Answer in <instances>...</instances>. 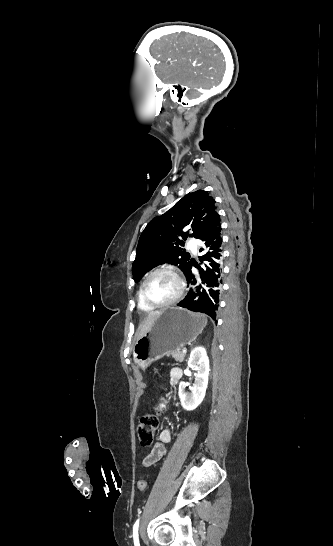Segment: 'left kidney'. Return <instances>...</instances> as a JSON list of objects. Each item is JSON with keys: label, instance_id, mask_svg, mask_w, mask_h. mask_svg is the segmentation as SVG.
Here are the masks:
<instances>
[{"label": "left kidney", "instance_id": "1", "mask_svg": "<svg viewBox=\"0 0 333 546\" xmlns=\"http://www.w3.org/2000/svg\"><path fill=\"white\" fill-rule=\"evenodd\" d=\"M188 367L197 370L195 381L191 393L185 392L187 383L182 382L179 384V398L182 407L187 411H191L202 402L208 385L209 358L204 347H196L191 352Z\"/></svg>", "mask_w": 333, "mask_h": 546}]
</instances>
